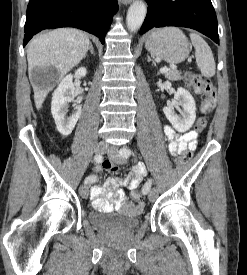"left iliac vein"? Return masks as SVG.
Listing matches in <instances>:
<instances>
[{"mask_svg": "<svg viewBox=\"0 0 247 275\" xmlns=\"http://www.w3.org/2000/svg\"><path fill=\"white\" fill-rule=\"evenodd\" d=\"M122 149H127V147H123ZM120 150H118V148H116V147H111L108 151V156L110 157V159L113 160L114 162L118 163V164L124 163V159L120 155ZM142 191H143V194L148 193V192L146 193L144 190H142ZM156 196H157V190L153 189L149 193V199L154 200L156 198Z\"/></svg>", "mask_w": 247, "mask_h": 275, "instance_id": "1", "label": "left iliac vein"}]
</instances>
